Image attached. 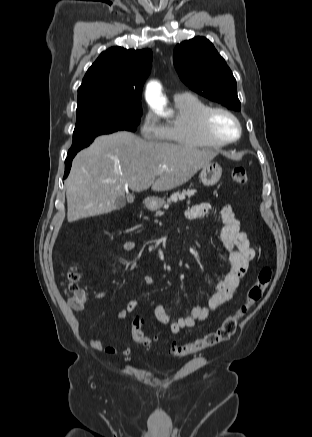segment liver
<instances>
[{
  "instance_id": "liver-1",
  "label": "liver",
  "mask_w": 312,
  "mask_h": 437,
  "mask_svg": "<svg viewBox=\"0 0 312 437\" xmlns=\"http://www.w3.org/2000/svg\"><path fill=\"white\" fill-rule=\"evenodd\" d=\"M217 154L188 145L147 142L125 131L99 136L73 159L66 180L68 222L114 211L126 187L135 192L176 188Z\"/></svg>"
}]
</instances>
